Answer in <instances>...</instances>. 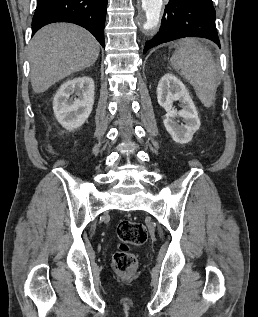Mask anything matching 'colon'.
I'll return each instance as SVG.
<instances>
[{
  "label": "colon",
  "mask_w": 258,
  "mask_h": 317,
  "mask_svg": "<svg viewBox=\"0 0 258 317\" xmlns=\"http://www.w3.org/2000/svg\"><path fill=\"white\" fill-rule=\"evenodd\" d=\"M118 250L113 254L111 266L120 274H131L137 268V258L130 251L131 245H142L147 240L145 226L136 221L124 220L117 226Z\"/></svg>",
  "instance_id": "1"
}]
</instances>
